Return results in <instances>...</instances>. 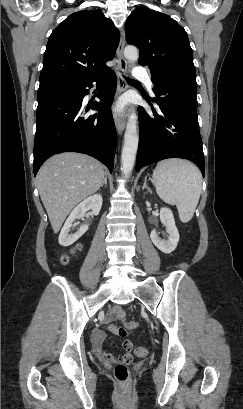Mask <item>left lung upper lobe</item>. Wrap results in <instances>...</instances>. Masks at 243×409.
Returning a JSON list of instances; mask_svg holds the SVG:
<instances>
[{
  "instance_id": "left-lung-upper-lobe-1",
  "label": "left lung upper lobe",
  "mask_w": 243,
  "mask_h": 409,
  "mask_svg": "<svg viewBox=\"0 0 243 409\" xmlns=\"http://www.w3.org/2000/svg\"><path fill=\"white\" fill-rule=\"evenodd\" d=\"M125 29L127 42L140 50L139 63L149 66L154 84L169 77H196L187 33L168 15L137 7Z\"/></svg>"
}]
</instances>
